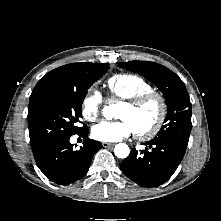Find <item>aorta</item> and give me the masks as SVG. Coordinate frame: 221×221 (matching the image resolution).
Segmentation results:
<instances>
[{
	"instance_id": "762f6f07",
	"label": "aorta",
	"mask_w": 221,
	"mask_h": 221,
	"mask_svg": "<svg viewBox=\"0 0 221 221\" xmlns=\"http://www.w3.org/2000/svg\"><path fill=\"white\" fill-rule=\"evenodd\" d=\"M114 104L111 103L109 106L103 108V115L106 119H111L113 117ZM114 153L118 158H126L130 153V149L127 144L119 143L114 148Z\"/></svg>"
}]
</instances>
